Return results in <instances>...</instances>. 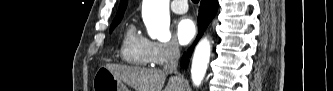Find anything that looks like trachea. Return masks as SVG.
<instances>
[{"label": "trachea", "instance_id": "trachea-1", "mask_svg": "<svg viewBox=\"0 0 333 91\" xmlns=\"http://www.w3.org/2000/svg\"><path fill=\"white\" fill-rule=\"evenodd\" d=\"M193 2H197V0H193Z\"/></svg>", "mask_w": 333, "mask_h": 91}]
</instances>
